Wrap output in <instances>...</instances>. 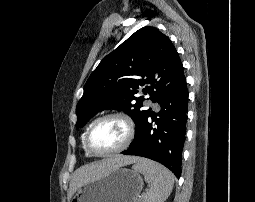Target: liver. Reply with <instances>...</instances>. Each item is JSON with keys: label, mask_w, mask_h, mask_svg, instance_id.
<instances>
[{"label": "liver", "mask_w": 255, "mask_h": 202, "mask_svg": "<svg viewBox=\"0 0 255 202\" xmlns=\"http://www.w3.org/2000/svg\"><path fill=\"white\" fill-rule=\"evenodd\" d=\"M138 159L134 156L113 155L101 161L80 167L72 176L69 196H72L80 186L88 181L102 177L121 166L135 163Z\"/></svg>", "instance_id": "6515ba94"}]
</instances>
